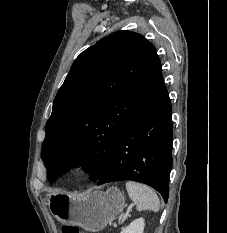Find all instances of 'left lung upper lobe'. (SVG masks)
<instances>
[{"mask_svg": "<svg viewBox=\"0 0 227 233\" xmlns=\"http://www.w3.org/2000/svg\"><path fill=\"white\" fill-rule=\"evenodd\" d=\"M163 87L155 47L138 33L114 32L82 52L46 123L42 159L49 180L83 162L98 181L123 130Z\"/></svg>", "mask_w": 227, "mask_h": 233, "instance_id": "5c2ea615", "label": "left lung upper lobe"}]
</instances>
